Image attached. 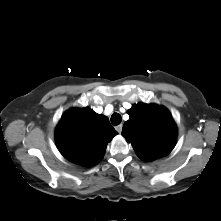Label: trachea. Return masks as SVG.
<instances>
[{
	"label": "trachea",
	"instance_id": "3493384b",
	"mask_svg": "<svg viewBox=\"0 0 221 221\" xmlns=\"http://www.w3.org/2000/svg\"><path fill=\"white\" fill-rule=\"evenodd\" d=\"M121 120H122V118H121V115L119 114V113H113L112 115H111V123L113 124V125H119L120 123H121Z\"/></svg>",
	"mask_w": 221,
	"mask_h": 221
}]
</instances>
